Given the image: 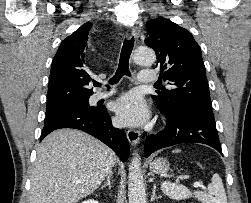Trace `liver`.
<instances>
[{"label": "liver", "instance_id": "obj_1", "mask_svg": "<svg viewBox=\"0 0 251 203\" xmlns=\"http://www.w3.org/2000/svg\"><path fill=\"white\" fill-rule=\"evenodd\" d=\"M116 161L115 153L92 136L56 130L37 148L29 203H77L101 185Z\"/></svg>", "mask_w": 251, "mask_h": 203}]
</instances>
